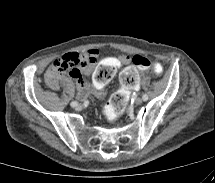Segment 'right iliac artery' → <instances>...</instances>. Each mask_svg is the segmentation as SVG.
<instances>
[{
	"mask_svg": "<svg viewBox=\"0 0 215 183\" xmlns=\"http://www.w3.org/2000/svg\"><path fill=\"white\" fill-rule=\"evenodd\" d=\"M70 105H71L72 107H75V106L78 105V102H77V101H72V102L70 103Z\"/></svg>",
	"mask_w": 215,
	"mask_h": 183,
	"instance_id": "1",
	"label": "right iliac artery"
}]
</instances>
